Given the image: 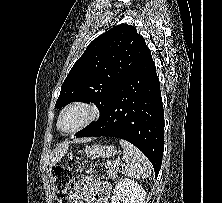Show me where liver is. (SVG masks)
<instances>
[{"label":"liver","instance_id":"liver-1","mask_svg":"<svg viewBox=\"0 0 222 203\" xmlns=\"http://www.w3.org/2000/svg\"><path fill=\"white\" fill-rule=\"evenodd\" d=\"M69 143L70 142H65L60 147H58L56 150H54V152L52 154L50 168L55 166L56 163H58L61 160V158L66 154V152L68 150Z\"/></svg>","mask_w":222,"mask_h":203}]
</instances>
